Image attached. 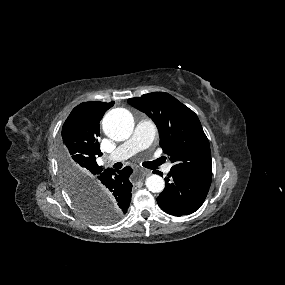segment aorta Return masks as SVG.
<instances>
[{
  "instance_id": "aorta-1",
  "label": "aorta",
  "mask_w": 285,
  "mask_h": 285,
  "mask_svg": "<svg viewBox=\"0 0 285 285\" xmlns=\"http://www.w3.org/2000/svg\"><path fill=\"white\" fill-rule=\"evenodd\" d=\"M102 127L104 133L111 139L124 141L128 139L133 132V116L127 109H113L104 116ZM145 185L149 191L159 193L163 191L165 182L162 177L153 174L146 178Z\"/></svg>"
}]
</instances>
